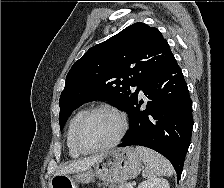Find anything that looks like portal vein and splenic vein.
I'll return each instance as SVG.
<instances>
[{
  "mask_svg": "<svg viewBox=\"0 0 224 188\" xmlns=\"http://www.w3.org/2000/svg\"><path fill=\"white\" fill-rule=\"evenodd\" d=\"M126 188H133V186H132V184L128 183V184L126 185Z\"/></svg>",
  "mask_w": 224,
  "mask_h": 188,
  "instance_id": "1",
  "label": "portal vein and splenic vein"
}]
</instances>
